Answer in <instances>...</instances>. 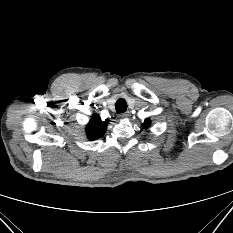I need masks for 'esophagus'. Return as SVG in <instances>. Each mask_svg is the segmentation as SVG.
I'll use <instances>...</instances> for the list:
<instances>
[{"mask_svg":"<svg viewBox=\"0 0 233 233\" xmlns=\"http://www.w3.org/2000/svg\"><path fill=\"white\" fill-rule=\"evenodd\" d=\"M129 116H130L129 112H125V113L120 114V115H119V118H121V119H126V118H128Z\"/></svg>","mask_w":233,"mask_h":233,"instance_id":"34e87169","label":"esophagus"}]
</instances>
